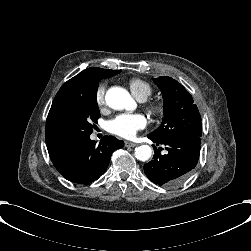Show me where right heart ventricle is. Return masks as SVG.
Instances as JSON below:
<instances>
[{
    "instance_id": "e07e8e85",
    "label": "right heart ventricle",
    "mask_w": 251,
    "mask_h": 251,
    "mask_svg": "<svg viewBox=\"0 0 251 251\" xmlns=\"http://www.w3.org/2000/svg\"><path fill=\"white\" fill-rule=\"evenodd\" d=\"M127 84L133 93V95L138 100H145L148 99L152 93L153 88L152 86L145 80L139 78V77H131L128 79Z\"/></svg>"
}]
</instances>
